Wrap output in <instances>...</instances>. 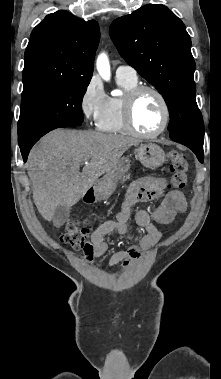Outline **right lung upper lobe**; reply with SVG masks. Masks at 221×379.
<instances>
[{"label": "right lung upper lobe", "instance_id": "right-lung-upper-lobe-1", "mask_svg": "<svg viewBox=\"0 0 221 379\" xmlns=\"http://www.w3.org/2000/svg\"><path fill=\"white\" fill-rule=\"evenodd\" d=\"M99 40L95 20L84 21L65 10L47 15L33 29L25 51L23 92L91 79Z\"/></svg>", "mask_w": 221, "mask_h": 379}]
</instances>
